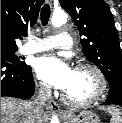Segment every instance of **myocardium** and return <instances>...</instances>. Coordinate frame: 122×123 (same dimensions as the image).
I'll return each instance as SVG.
<instances>
[{
  "instance_id": "1",
  "label": "myocardium",
  "mask_w": 122,
  "mask_h": 123,
  "mask_svg": "<svg viewBox=\"0 0 122 123\" xmlns=\"http://www.w3.org/2000/svg\"><path fill=\"white\" fill-rule=\"evenodd\" d=\"M84 68L91 69L92 71L95 72V74L97 75L99 79L100 87L95 96L83 101L73 100L64 92L62 95L63 100L68 105L73 107H87L99 102L105 96L108 89V81H107L106 75L97 65L90 62H82V63H79L75 69H84Z\"/></svg>"
}]
</instances>
